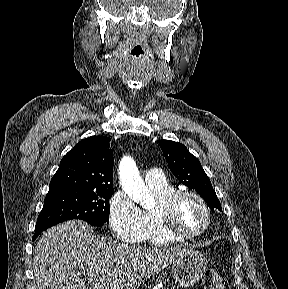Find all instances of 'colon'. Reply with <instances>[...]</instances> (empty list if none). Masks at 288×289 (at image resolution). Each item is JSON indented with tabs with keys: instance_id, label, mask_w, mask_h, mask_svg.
<instances>
[{
	"instance_id": "5ec220e1",
	"label": "colon",
	"mask_w": 288,
	"mask_h": 289,
	"mask_svg": "<svg viewBox=\"0 0 288 289\" xmlns=\"http://www.w3.org/2000/svg\"><path fill=\"white\" fill-rule=\"evenodd\" d=\"M205 289H226L223 277L214 269H207L203 275Z\"/></svg>"
}]
</instances>
